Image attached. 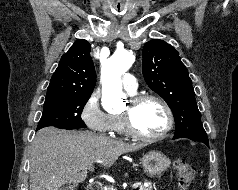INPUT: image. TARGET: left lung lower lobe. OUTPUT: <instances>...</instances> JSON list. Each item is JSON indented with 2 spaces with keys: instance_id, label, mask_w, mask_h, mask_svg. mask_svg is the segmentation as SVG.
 <instances>
[{
  "instance_id": "left-lung-lower-lobe-1",
  "label": "left lung lower lobe",
  "mask_w": 238,
  "mask_h": 190,
  "mask_svg": "<svg viewBox=\"0 0 238 190\" xmlns=\"http://www.w3.org/2000/svg\"><path fill=\"white\" fill-rule=\"evenodd\" d=\"M183 137H185V136L179 135V136H175L174 139L183 138ZM185 138H187V137H185ZM191 140L199 141V142H202V143L206 144L207 146H209L208 139L206 140V139H202V138H197V139H191Z\"/></svg>"
}]
</instances>
